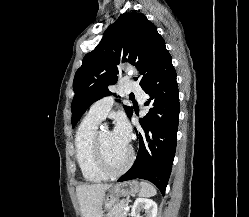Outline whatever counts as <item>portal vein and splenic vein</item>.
<instances>
[{"instance_id":"18ae733b","label":"portal vein and splenic vein","mask_w":249,"mask_h":217,"mask_svg":"<svg viewBox=\"0 0 249 217\" xmlns=\"http://www.w3.org/2000/svg\"><path fill=\"white\" fill-rule=\"evenodd\" d=\"M130 207L128 205L125 206L124 210L127 212L129 211Z\"/></svg>"}]
</instances>
